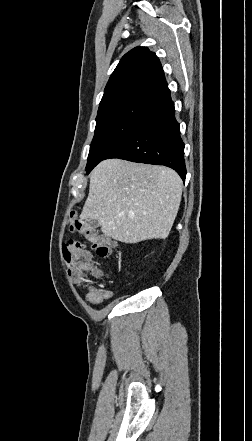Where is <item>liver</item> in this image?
Here are the masks:
<instances>
[{
    "instance_id": "1",
    "label": "liver",
    "mask_w": 252,
    "mask_h": 441,
    "mask_svg": "<svg viewBox=\"0 0 252 441\" xmlns=\"http://www.w3.org/2000/svg\"><path fill=\"white\" fill-rule=\"evenodd\" d=\"M183 182L165 166L107 159L91 172L81 220L124 243L165 239L181 202Z\"/></svg>"
}]
</instances>
